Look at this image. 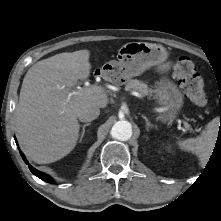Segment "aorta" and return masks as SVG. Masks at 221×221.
<instances>
[{"label": "aorta", "mask_w": 221, "mask_h": 221, "mask_svg": "<svg viewBox=\"0 0 221 221\" xmlns=\"http://www.w3.org/2000/svg\"><path fill=\"white\" fill-rule=\"evenodd\" d=\"M132 133V125L127 120L117 121L111 129L112 137L120 141L129 140Z\"/></svg>", "instance_id": "762f6f07"}]
</instances>
